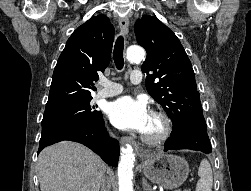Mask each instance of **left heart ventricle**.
Wrapping results in <instances>:
<instances>
[{
    "mask_svg": "<svg viewBox=\"0 0 251 191\" xmlns=\"http://www.w3.org/2000/svg\"><path fill=\"white\" fill-rule=\"evenodd\" d=\"M158 130V123L150 118L147 127L145 129V132L149 134H154Z\"/></svg>",
    "mask_w": 251,
    "mask_h": 191,
    "instance_id": "1",
    "label": "left heart ventricle"
}]
</instances>
